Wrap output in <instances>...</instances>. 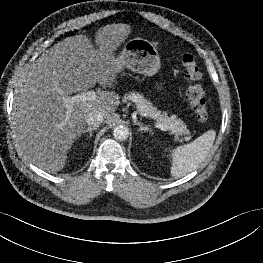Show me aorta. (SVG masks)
<instances>
[{
    "label": "aorta",
    "instance_id": "762f6f07",
    "mask_svg": "<svg viewBox=\"0 0 263 263\" xmlns=\"http://www.w3.org/2000/svg\"><path fill=\"white\" fill-rule=\"evenodd\" d=\"M129 130L126 126L119 125L113 130V136L116 140L124 141L128 138Z\"/></svg>",
    "mask_w": 263,
    "mask_h": 263
}]
</instances>
